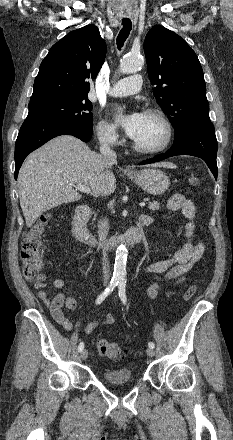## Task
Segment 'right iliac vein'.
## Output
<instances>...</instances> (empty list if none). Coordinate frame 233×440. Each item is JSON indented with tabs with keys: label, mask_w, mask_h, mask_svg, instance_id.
Here are the masks:
<instances>
[{
	"label": "right iliac vein",
	"mask_w": 233,
	"mask_h": 440,
	"mask_svg": "<svg viewBox=\"0 0 233 440\" xmlns=\"http://www.w3.org/2000/svg\"><path fill=\"white\" fill-rule=\"evenodd\" d=\"M87 357H88V351L86 349L82 350L81 353H80V358L82 360H86Z\"/></svg>",
	"instance_id": "63e3f726"
}]
</instances>
